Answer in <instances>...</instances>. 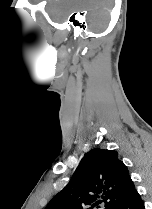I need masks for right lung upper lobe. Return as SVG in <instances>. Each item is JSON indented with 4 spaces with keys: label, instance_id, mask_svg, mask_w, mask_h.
<instances>
[{
    "label": "right lung upper lobe",
    "instance_id": "cb5924a9",
    "mask_svg": "<svg viewBox=\"0 0 152 209\" xmlns=\"http://www.w3.org/2000/svg\"><path fill=\"white\" fill-rule=\"evenodd\" d=\"M134 188L127 167L114 150L92 149L82 158L68 185L45 209H93L102 198L111 209Z\"/></svg>",
    "mask_w": 152,
    "mask_h": 209
}]
</instances>
